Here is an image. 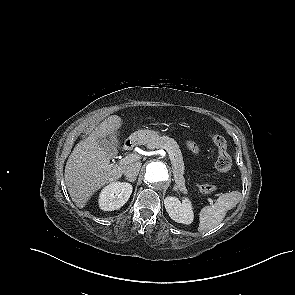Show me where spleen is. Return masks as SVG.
Here are the masks:
<instances>
[{
    "label": "spleen",
    "instance_id": "1",
    "mask_svg": "<svg viewBox=\"0 0 295 295\" xmlns=\"http://www.w3.org/2000/svg\"><path fill=\"white\" fill-rule=\"evenodd\" d=\"M241 199V193L232 191L221 194L215 203L201 209L199 213V227L198 231L203 232L211 230L220 224L228 210L235 207Z\"/></svg>",
    "mask_w": 295,
    "mask_h": 295
}]
</instances>
